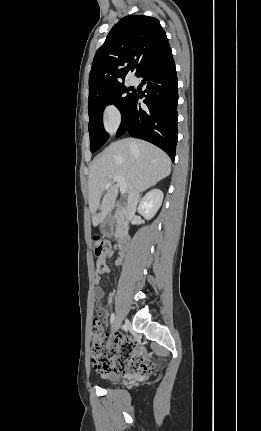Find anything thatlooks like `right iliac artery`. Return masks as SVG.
I'll list each match as a JSON object with an SVG mask.
<instances>
[{"label": "right iliac artery", "instance_id": "82829eb1", "mask_svg": "<svg viewBox=\"0 0 261 431\" xmlns=\"http://www.w3.org/2000/svg\"><path fill=\"white\" fill-rule=\"evenodd\" d=\"M114 320H115V314L112 313L110 317V323L113 324Z\"/></svg>", "mask_w": 261, "mask_h": 431}]
</instances>
